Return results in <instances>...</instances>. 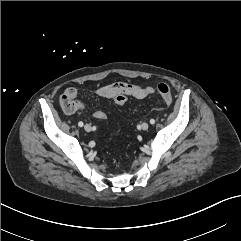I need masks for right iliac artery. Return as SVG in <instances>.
Masks as SVG:
<instances>
[{"mask_svg": "<svg viewBox=\"0 0 241 241\" xmlns=\"http://www.w3.org/2000/svg\"><path fill=\"white\" fill-rule=\"evenodd\" d=\"M78 126L82 127V126H83V122L80 121V122L78 123Z\"/></svg>", "mask_w": 241, "mask_h": 241, "instance_id": "obj_1", "label": "right iliac artery"}]
</instances>
